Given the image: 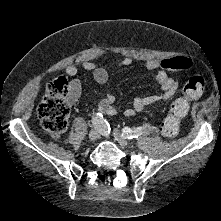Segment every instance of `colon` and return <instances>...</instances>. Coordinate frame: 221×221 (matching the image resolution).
<instances>
[{"label": "colon", "instance_id": "5ec220e1", "mask_svg": "<svg viewBox=\"0 0 221 221\" xmlns=\"http://www.w3.org/2000/svg\"><path fill=\"white\" fill-rule=\"evenodd\" d=\"M192 62L186 57H173L161 61L160 67L165 71H184L190 69ZM205 89V80L199 75L191 77L183 88V96L175 100L165 117L161 132L173 138L179 131L182 118L188 110L190 101L198 98ZM72 89L68 80L59 77L53 81L38 106V117L43 130L53 138H59L66 131L70 116L69 102Z\"/></svg>", "mask_w": 221, "mask_h": 221}]
</instances>
